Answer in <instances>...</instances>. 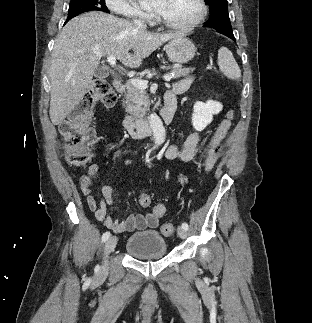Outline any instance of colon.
I'll return each mask as SVG.
<instances>
[{"instance_id": "colon-1", "label": "colon", "mask_w": 312, "mask_h": 323, "mask_svg": "<svg viewBox=\"0 0 312 323\" xmlns=\"http://www.w3.org/2000/svg\"><path fill=\"white\" fill-rule=\"evenodd\" d=\"M92 88L95 95L98 97L100 104L110 107L116 102V94L113 91L108 78H96L93 81ZM90 118V111L85 109L61 123V133L64 137V149L68 153V162L73 167L88 165L93 156L91 141L94 137V130L90 126ZM232 123L233 112L229 111L211 137L203 163L204 171L210 172L216 165L220 157V145L227 137ZM139 201L141 205H146L149 204L151 200L149 196H141ZM164 208V202H157L153 211L154 213H163ZM161 232L164 235H172L174 232V225L172 223L163 224L161 226Z\"/></svg>"}]
</instances>
